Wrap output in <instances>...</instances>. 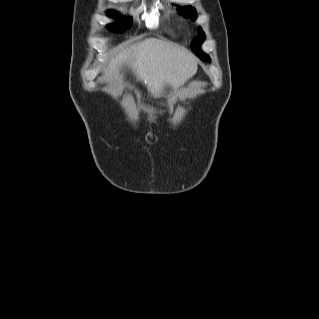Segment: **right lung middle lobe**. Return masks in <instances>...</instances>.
Returning <instances> with one entry per match:
<instances>
[{
  "label": "right lung middle lobe",
  "instance_id": "1",
  "mask_svg": "<svg viewBox=\"0 0 319 319\" xmlns=\"http://www.w3.org/2000/svg\"><path fill=\"white\" fill-rule=\"evenodd\" d=\"M109 15L120 18L121 20L118 23L108 25V28L111 31L122 33L124 30L130 28L132 25V20L125 17H120L117 12L111 10L108 12Z\"/></svg>",
  "mask_w": 319,
  "mask_h": 319
}]
</instances>
